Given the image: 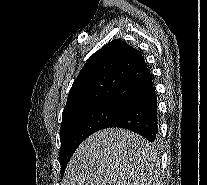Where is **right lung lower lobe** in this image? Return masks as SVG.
<instances>
[{"mask_svg":"<svg viewBox=\"0 0 207 185\" xmlns=\"http://www.w3.org/2000/svg\"><path fill=\"white\" fill-rule=\"evenodd\" d=\"M109 127L131 130L157 144L158 105L155 87L152 85L131 99L106 128Z\"/></svg>","mask_w":207,"mask_h":185,"instance_id":"obj_1","label":"right lung lower lobe"}]
</instances>
